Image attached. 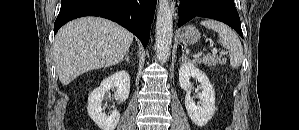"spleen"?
I'll use <instances>...</instances> for the list:
<instances>
[{"label":"spleen","mask_w":299,"mask_h":130,"mask_svg":"<svg viewBox=\"0 0 299 130\" xmlns=\"http://www.w3.org/2000/svg\"><path fill=\"white\" fill-rule=\"evenodd\" d=\"M200 24L218 33V43L230 52L231 67H239L243 61V47L237 34L225 24L214 20H204Z\"/></svg>","instance_id":"spleen-1"}]
</instances>
